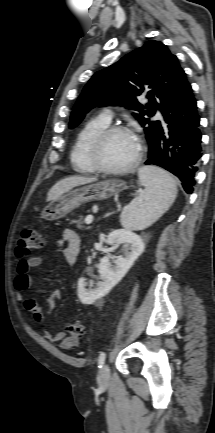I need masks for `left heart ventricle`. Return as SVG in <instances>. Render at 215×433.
<instances>
[{"mask_svg": "<svg viewBox=\"0 0 215 433\" xmlns=\"http://www.w3.org/2000/svg\"><path fill=\"white\" fill-rule=\"evenodd\" d=\"M136 148L137 144L132 136L115 133L103 142L99 151V160L106 167L120 168L132 161Z\"/></svg>", "mask_w": 215, "mask_h": 433, "instance_id": "1", "label": "left heart ventricle"}]
</instances>
